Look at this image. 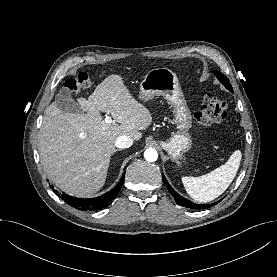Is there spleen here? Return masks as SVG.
Returning a JSON list of instances; mask_svg holds the SVG:
<instances>
[{
	"label": "spleen",
	"mask_w": 277,
	"mask_h": 277,
	"mask_svg": "<svg viewBox=\"0 0 277 277\" xmlns=\"http://www.w3.org/2000/svg\"><path fill=\"white\" fill-rule=\"evenodd\" d=\"M241 156L240 150H236L224 165L210 173L199 177H182L188 195L200 203L212 201L220 196L235 178Z\"/></svg>",
	"instance_id": "3e777b00"
}]
</instances>
